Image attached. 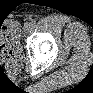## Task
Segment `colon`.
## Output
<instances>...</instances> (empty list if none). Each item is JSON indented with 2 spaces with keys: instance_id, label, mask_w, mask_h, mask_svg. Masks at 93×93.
<instances>
[{
  "instance_id": "1",
  "label": "colon",
  "mask_w": 93,
  "mask_h": 93,
  "mask_svg": "<svg viewBox=\"0 0 93 93\" xmlns=\"http://www.w3.org/2000/svg\"><path fill=\"white\" fill-rule=\"evenodd\" d=\"M14 32L6 25H2L0 33V52L2 60L13 57Z\"/></svg>"
}]
</instances>
